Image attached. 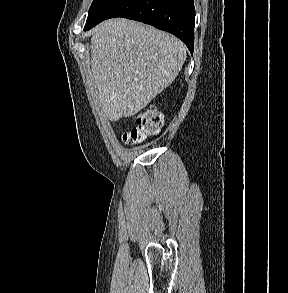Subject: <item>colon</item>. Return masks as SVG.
I'll list each match as a JSON object with an SVG mask.
<instances>
[{"instance_id": "1", "label": "colon", "mask_w": 288, "mask_h": 293, "mask_svg": "<svg viewBox=\"0 0 288 293\" xmlns=\"http://www.w3.org/2000/svg\"><path fill=\"white\" fill-rule=\"evenodd\" d=\"M135 125L123 135L126 144H136L144 141L149 136L157 133L163 123L160 112L153 108H148L133 118Z\"/></svg>"}]
</instances>
